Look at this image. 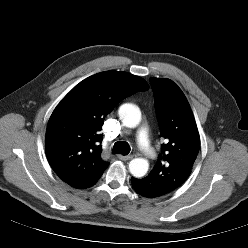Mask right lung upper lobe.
<instances>
[{
    "mask_svg": "<svg viewBox=\"0 0 248 248\" xmlns=\"http://www.w3.org/2000/svg\"><path fill=\"white\" fill-rule=\"evenodd\" d=\"M149 87L140 77L105 71L80 82L57 105L46 131L54 172L76 189L93 186L109 163L101 158L104 118L124 98Z\"/></svg>",
    "mask_w": 248,
    "mask_h": 248,
    "instance_id": "cb5924a9",
    "label": "right lung upper lobe"
}]
</instances>
